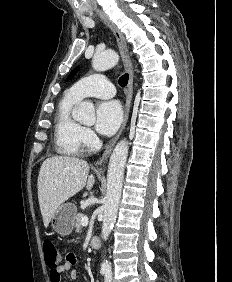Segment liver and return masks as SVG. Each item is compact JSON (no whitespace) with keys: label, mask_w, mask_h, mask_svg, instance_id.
I'll use <instances>...</instances> for the list:
<instances>
[{"label":"liver","mask_w":232,"mask_h":282,"mask_svg":"<svg viewBox=\"0 0 232 282\" xmlns=\"http://www.w3.org/2000/svg\"><path fill=\"white\" fill-rule=\"evenodd\" d=\"M88 163L79 158L54 156L41 165L37 188L38 200L45 228L56 209L85 186L90 190L95 178L88 175ZM87 195V194H85Z\"/></svg>","instance_id":"liver-1"}]
</instances>
